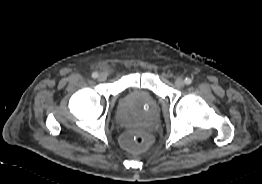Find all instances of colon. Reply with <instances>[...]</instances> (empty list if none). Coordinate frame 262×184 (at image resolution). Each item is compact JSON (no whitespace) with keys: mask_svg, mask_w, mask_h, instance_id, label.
Returning <instances> with one entry per match:
<instances>
[{"mask_svg":"<svg viewBox=\"0 0 262 184\" xmlns=\"http://www.w3.org/2000/svg\"><path fill=\"white\" fill-rule=\"evenodd\" d=\"M149 137L144 133L126 134L122 138L123 146L130 151H141L149 144Z\"/></svg>","mask_w":262,"mask_h":184,"instance_id":"obj_1","label":"colon"}]
</instances>
